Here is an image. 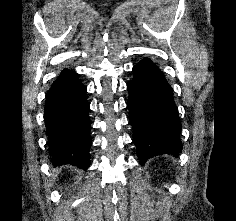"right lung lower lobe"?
I'll return each mask as SVG.
<instances>
[{
    "label": "right lung lower lobe",
    "instance_id": "obj_1",
    "mask_svg": "<svg viewBox=\"0 0 236 221\" xmlns=\"http://www.w3.org/2000/svg\"><path fill=\"white\" fill-rule=\"evenodd\" d=\"M86 87L74 71L63 70L46 94L44 120L55 165H89L90 121Z\"/></svg>",
    "mask_w": 236,
    "mask_h": 221
}]
</instances>
